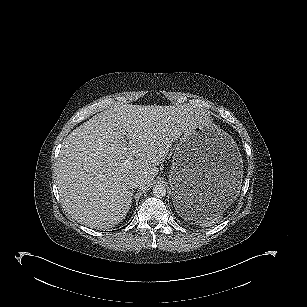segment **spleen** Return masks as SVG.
Masks as SVG:
<instances>
[{"mask_svg": "<svg viewBox=\"0 0 307 307\" xmlns=\"http://www.w3.org/2000/svg\"><path fill=\"white\" fill-rule=\"evenodd\" d=\"M222 215H223V210L218 211L216 213H209L203 211L195 215L192 219V222H195L196 224L204 227L212 226L221 220Z\"/></svg>", "mask_w": 307, "mask_h": 307, "instance_id": "3e777b00", "label": "spleen"}]
</instances>
